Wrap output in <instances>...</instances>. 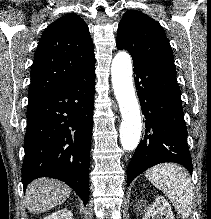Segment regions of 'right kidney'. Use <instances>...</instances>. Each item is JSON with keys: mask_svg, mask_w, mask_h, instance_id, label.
Returning a JSON list of instances; mask_svg holds the SVG:
<instances>
[{"mask_svg": "<svg viewBox=\"0 0 211 219\" xmlns=\"http://www.w3.org/2000/svg\"><path fill=\"white\" fill-rule=\"evenodd\" d=\"M44 219H73V214L67 209H61L46 216Z\"/></svg>", "mask_w": 211, "mask_h": 219, "instance_id": "right-kidney-1", "label": "right kidney"}]
</instances>
